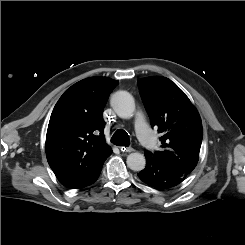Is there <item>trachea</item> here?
<instances>
[{
	"label": "trachea",
	"mask_w": 245,
	"mask_h": 245,
	"mask_svg": "<svg viewBox=\"0 0 245 245\" xmlns=\"http://www.w3.org/2000/svg\"><path fill=\"white\" fill-rule=\"evenodd\" d=\"M111 142L117 146L127 147L130 144L129 135L127 134L126 131L119 129L113 134L111 138Z\"/></svg>",
	"instance_id": "trachea-1"
}]
</instances>
